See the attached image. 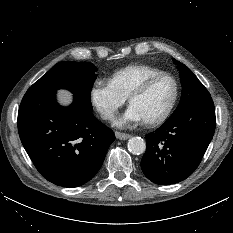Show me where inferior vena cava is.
<instances>
[{
    "instance_id": "obj_1",
    "label": "inferior vena cava",
    "mask_w": 233,
    "mask_h": 233,
    "mask_svg": "<svg viewBox=\"0 0 233 233\" xmlns=\"http://www.w3.org/2000/svg\"><path fill=\"white\" fill-rule=\"evenodd\" d=\"M106 118L113 119L114 115L113 114H108V115H106Z\"/></svg>"
}]
</instances>
